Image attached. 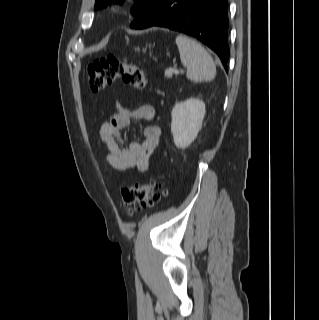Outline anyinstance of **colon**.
Instances as JSON below:
<instances>
[{
	"instance_id": "obj_1",
	"label": "colon",
	"mask_w": 319,
	"mask_h": 320,
	"mask_svg": "<svg viewBox=\"0 0 319 320\" xmlns=\"http://www.w3.org/2000/svg\"><path fill=\"white\" fill-rule=\"evenodd\" d=\"M87 75L92 90L98 91L120 79L131 87L141 90L146 86L142 70L134 63L106 54L87 66ZM167 190L156 180L127 186L121 190V201L129 214L143 206H154L166 197Z\"/></svg>"
}]
</instances>
